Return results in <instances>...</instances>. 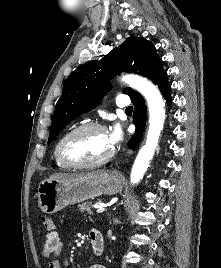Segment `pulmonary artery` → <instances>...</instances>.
Returning a JSON list of instances; mask_svg holds the SVG:
<instances>
[{"mask_svg": "<svg viewBox=\"0 0 221 268\" xmlns=\"http://www.w3.org/2000/svg\"><path fill=\"white\" fill-rule=\"evenodd\" d=\"M116 105L119 107H128L130 105V100L126 95H119L116 98Z\"/></svg>", "mask_w": 221, "mask_h": 268, "instance_id": "obj_1", "label": "pulmonary artery"}]
</instances>
